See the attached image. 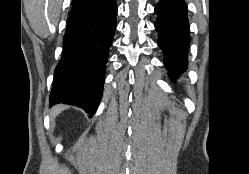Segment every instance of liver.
I'll use <instances>...</instances> for the list:
<instances>
[{
  "label": "liver",
  "mask_w": 249,
  "mask_h": 174,
  "mask_svg": "<svg viewBox=\"0 0 249 174\" xmlns=\"http://www.w3.org/2000/svg\"><path fill=\"white\" fill-rule=\"evenodd\" d=\"M63 109H64V107H62V106H56V107L53 109V111H52V115H53V116L58 115Z\"/></svg>",
  "instance_id": "liver-1"
}]
</instances>
